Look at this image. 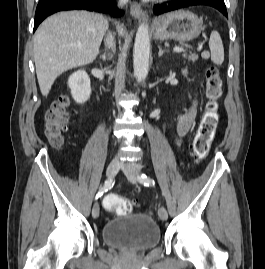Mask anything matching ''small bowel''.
Wrapping results in <instances>:
<instances>
[{
  "instance_id": "obj_1",
  "label": "small bowel",
  "mask_w": 265,
  "mask_h": 269,
  "mask_svg": "<svg viewBox=\"0 0 265 269\" xmlns=\"http://www.w3.org/2000/svg\"><path fill=\"white\" fill-rule=\"evenodd\" d=\"M195 116H196V103L194 101L192 102L187 112H185L178 118L173 128V135L176 145L181 144L182 137L185 136L191 129Z\"/></svg>"
}]
</instances>
